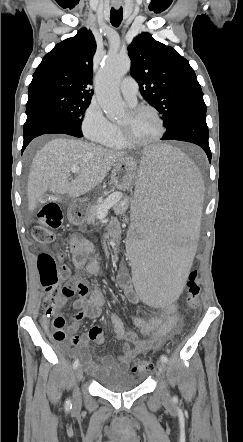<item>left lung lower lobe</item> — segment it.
Here are the masks:
<instances>
[{
	"mask_svg": "<svg viewBox=\"0 0 243 442\" xmlns=\"http://www.w3.org/2000/svg\"><path fill=\"white\" fill-rule=\"evenodd\" d=\"M206 123V106L195 107L184 112L171 126L162 140L186 141L199 145L211 160Z\"/></svg>",
	"mask_w": 243,
	"mask_h": 442,
	"instance_id": "left-lung-lower-lobe-1",
	"label": "left lung lower lobe"
}]
</instances>
